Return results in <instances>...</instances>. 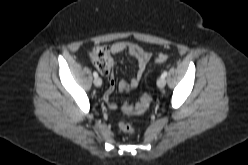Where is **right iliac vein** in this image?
Instances as JSON below:
<instances>
[{
	"instance_id": "1",
	"label": "right iliac vein",
	"mask_w": 248,
	"mask_h": 165,
	"mask_svg": "<svg viewBox=\"0 0 248 165\" xmlns=\"http://www.w3.org/2000/svg\"><path fill=\"white\" fill-rule=\"evenodd\" d=\"M93 82L96 87H100L102 85V80L99 77H96Z\"/></svg>"
}]
</instances>
